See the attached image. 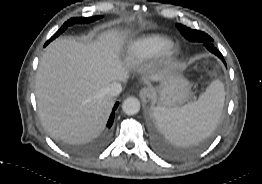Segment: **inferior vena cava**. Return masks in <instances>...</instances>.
I'll list each match as a JSON object with an SVG mask.
<instances>
[{"label": "inferior vena cava", "instance_id": "602c4592", "mask_svg": "<svg viewBox=\"0 0 262 184\" xmlns=\"http://www.w3.org/2000/svg\"><path fill=\"white\" fill-rule=\"evenodd\" d=\"M121 91H122V86L118 82H113L109 84L105 89L106 94L112 97L119 95Z\"/></svg>", "mask_w": 262, "mask_h": 184}]
</instances>
